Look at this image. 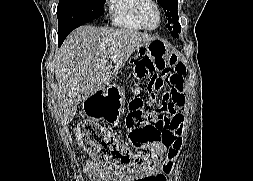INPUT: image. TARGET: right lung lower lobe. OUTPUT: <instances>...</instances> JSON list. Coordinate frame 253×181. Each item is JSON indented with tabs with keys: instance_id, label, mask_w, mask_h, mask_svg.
Returning <instances> with one entry per match:
<instances>
[{
	"instance_id": "98d812e1",
	"label": "right lung lower lobe",
	"mask_w": 253,
	"mask_h": 181,
	"mask_svg": "<svg viewBox=\"0 0 253 181\" xmlns=\"http://www.w3.org/2000/svg\"><path fill=\"white\" fill-rule=\"evenodd\" d=\"M68 34H59L58 35V42H59V45L62 44V42L64 41V39L66 38Z\"/></svg>"
}]
</instances>
